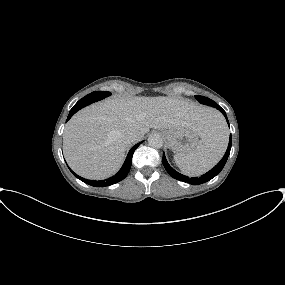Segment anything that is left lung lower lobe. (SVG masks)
I'll use <instances>...</instances> for the list:
<instances>
[{"mask_svg":"<svg viewBox=\"0 0 285 285\" xmlns=\"http://www.w3.org/2000/svg\"><path fill=\"white\" fill-rule=\"evenodd\" d=\"M217 109L222 112V114L225 116L227 122L229 123L227 116H226V112L220 106H217ZM230 150H231V141H229L227 151H226L224 157L221 159V161L213 169H211L206 174H204L200 177L189 178L188 176L182 175L179 172L175 171L168 164L164 153H163L162 163H163L166 171L174 179H177V180H180L183 182H187V183L192 184V185H199V184H203V183L211 180L212 178H214L216 175H218L221 172V170L223 169V167H224V165L228 159V156L230 154Z\"/></svg>","mask_w":285,"mask_h":285,"instance_id":"1","label":"left lung lower lobe"}]
</instances>
